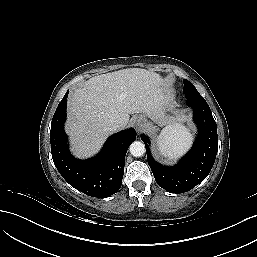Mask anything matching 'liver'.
<instances>
[{"instance_id":"6515ba94","label":"liver","mask_w":257,"mask_h":257,"mask_svg":"<svg viewBox=\"0 0 257 257\" xmlns=\"http://www.w3.org/2000/svg\"><path fill=\"white\" fill-rule=\"evenodd\" d=\"M170 100L163 78L145 69L92 77L68 97L66 132L71 150L79 158L94 155L110 134V125L119 123L125 128L129 115L136 113L158 118Z\"/></svg>"}]
</instances>
